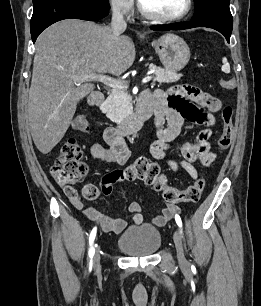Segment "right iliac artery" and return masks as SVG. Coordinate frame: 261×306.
Here are the masks:
<instances>
[{
    "mask_svg": "<svg viewBox=\"0 0 261 306\" xmlns=\"http://www.w3.org/2000/svg\"><path fill=\"white\" fill-rule=\"evenodd\" d=\"M96 233H97V227H94L90 233L89 236V251H88V261H89V265L90 267H92L93 264V256L95 254V248L93 246L95 237H96Z\"/></svg>",
    "mask_w": 261,
    "mask_h": 306,
    "instance_id": "1",
    "label": "right iliac artery"
}]
</instances>
